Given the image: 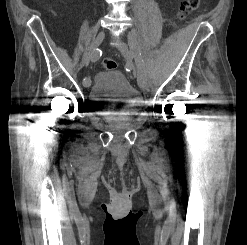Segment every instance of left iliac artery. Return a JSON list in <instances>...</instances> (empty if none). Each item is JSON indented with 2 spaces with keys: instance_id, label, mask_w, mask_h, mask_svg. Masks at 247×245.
Masks as SVG:
<instances>
[{
  "instance_id": "44dca946",
  "label": "left iliac artery",
  "mask_w": 247,
  "mask_h": 245,
  "mask_svg": "<svg viewBox=\"0 0 247 245\" xmlns=\"http://www.w3.org/2000/svg\"><path fill=\"white\" fill-rule=\"evenodd\" d=\"M128 42L130 46V58H135L138 68V78L145 77V65L140 53L139 37L136 36V31H129Z\"/></svg>"
}]
</instances>
